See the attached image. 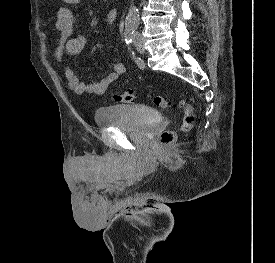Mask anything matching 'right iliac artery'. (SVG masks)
<instances>
[{
    "label": "right iliac artery",
    "mask_w": 275,
    "mask_h": 263,
    "mask_svg": "<svg viewBox=\"0 0 275 263\" xmlns=\"http://www.w3.org/2000/svg\"><path fill=\"white\" fill-rule=\"evenodd\" d=\"M124 35H125V41H126V43L128 45L131 44L132 41H133V38H134V29L133 28H126L125 32H124ZM132 54H134V53L132 52Z\"/></svg>",
    "instance_id": "82829eb1"
}]
</instances>
